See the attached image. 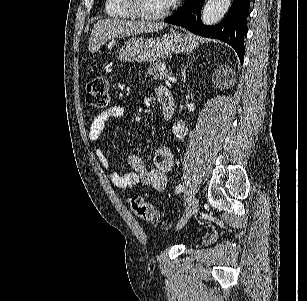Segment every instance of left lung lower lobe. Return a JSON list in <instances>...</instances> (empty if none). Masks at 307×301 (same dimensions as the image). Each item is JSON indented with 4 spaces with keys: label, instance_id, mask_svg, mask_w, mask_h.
I'll list each match as a JSON object with an SVG mask.
<instances>
[{
    "label": "left lung lower lobe",
    "instance_id": "left-lung-lower-lobe-1",
    "mask_svg": "<svg viewBox=\"0 0 307 301\" xmlns=\"http://www.w3.org/2000/svg\"><path fill=\"white\" fill-rule=\"evenodd\" d=\"M205 0H186L173 14L165 19L166 23L181 26L208 38H216L231 45L237 52L241 63L244 57V36L247 33V17L250 0H233L231 9L221 23L214 26L204 25L200 14Z\"/></svg>",
    "mask_w": 307,
    "mask_h": 301
}]
</instances>
